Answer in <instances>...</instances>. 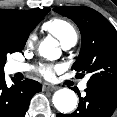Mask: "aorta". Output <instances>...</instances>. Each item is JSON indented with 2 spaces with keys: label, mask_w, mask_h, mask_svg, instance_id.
Segmentation results:
<instances>
[{
  "label": "aorta",
  "mask_w": 117,
  "mask_h": 117,
  "mask_svg": "<svg viewBox=\"0 0 117 117\" xmlns=\"http://www.w3.org/2000/svg\"><path fill=\"white\" fill-rule=\"evenodd\" d=\"M39 53L41 56L49 60H56L61 56V50L55 39L47 37L40 46ZM77 96L74 91L69 88L57 90L53 95V104L60 113H71L77 106Z\"/></svg>",
  "instance_id": "obj_1"
}]
</instances>
